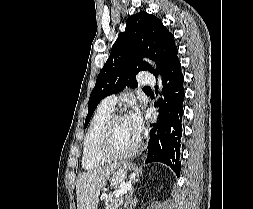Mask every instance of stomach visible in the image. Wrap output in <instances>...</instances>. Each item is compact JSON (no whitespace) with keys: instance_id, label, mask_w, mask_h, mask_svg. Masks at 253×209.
<instances>
[{"instance_id":"0dacf381","label":"stomach","mask_w":253,"mask_h":209,"mask_svg":"<svg viewBox=\"0 0 253 209\" xmlns=\"http://www.w3.org/2000/svg\"><path fill=\"white\" fill-rule=\"evenodd\" d=\"M115 183H118V182H115ZM104 186H113V181H104Z\"/></svg>"}]
</instances>
